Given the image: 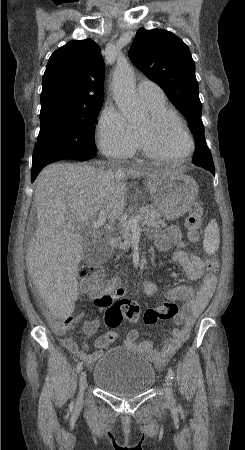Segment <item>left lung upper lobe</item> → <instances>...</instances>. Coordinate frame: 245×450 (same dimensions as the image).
Listing matches in <instances>:
<instances>
[{
	"label": "left lung upper lobe",
	"instance_id": "5c2ea615",
	"mask_svg": "<svg viewBox=\"0 0 245 450\" xmlns=\"http://www.w3.org/2000/svg\"><path fill=\"white\" fill-rule=\"evenodd\" d=\"M129 57L138 69L164 90L186 117L196 145L207 147L195 63L188 46L169 31L140 28ZM212 161L210 150L202 157H193V163L199 166L210 165Z\"/></svg>",
	"mask_w": 245,
	"mask_h": 450
}]
</instances>
